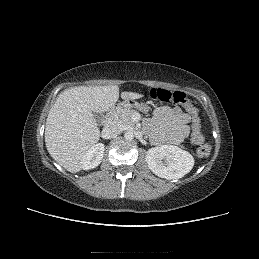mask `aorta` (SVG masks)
I'll list each match as a JSON object with an SVG mask.
<instances>
[{
    "label": "aorta",
    "instance_id": "762f6f07",
    "mask_svg": "<svg viewBox=\"0 0 259 259\" xmlns=\"http://www.w3.org/2000/svg\"><path fill=\"white\" fill-rule=\"evenodd\" d=\"M124 138L128 141H131L133 140L134 138V133L132 131H127L125 134H124Z\"/></svg>",
    "mask_w": 259,
    "mask_h": 259
}]
</instances>
